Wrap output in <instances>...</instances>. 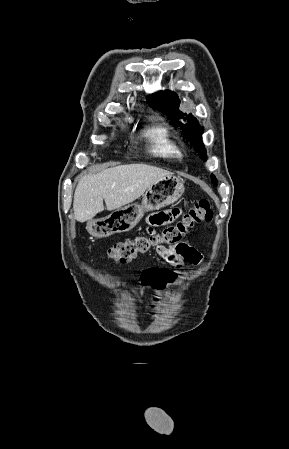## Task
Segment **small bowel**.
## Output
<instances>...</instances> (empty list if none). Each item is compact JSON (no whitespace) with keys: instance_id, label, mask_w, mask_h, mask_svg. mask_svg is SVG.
Listing matches in <instances>:
<instances>
[{"instance_id":"small-bowel-1","label":"small bowel","mask_w":289,"mask_h":449,"mask_svg":"<svg viewBox=\"0 0 289 449\" xmlns=\"http://www.w3.org/2000/svg\"><path fill=\"white\" fill-rule=\"evenodd\" d=\"M179 215V209H172L158 214L150 215L147 218L148 232L154 233V227L171 222ZM157 254L178 272H182L185 266L198 265L202 261V255L198 250L187 244L180 243L173 246H159L156 248ZM158 268V267H151Z\"/></svg>"}]
</instances>
